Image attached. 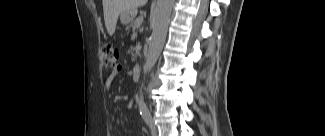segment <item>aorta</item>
I'll return each mask as SVG.
<instances>
[{
    "mask_svg": "<svg viewBox=\"0 0 325 136\" xmlns=\"http://www.w3.org/2000/svg\"><path fill=\"white\" fill-rule=\"evenodd\" d=\"M173 4L174 0H157L156 6L152 12V34L149 40V49L144 68V72L146 73L153 68L160 56L166 39ZM138 107L141 113L148 112V108L142 98L138 100Z\"/></svg>",
    "mask_w": 325,
    "mask_h": 136,
    "instance_id": "762f6f07",
    "label": "aorta"
}]
</instances>
